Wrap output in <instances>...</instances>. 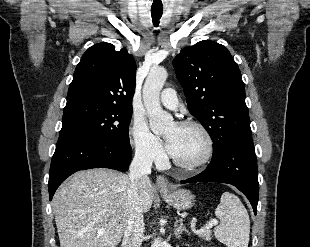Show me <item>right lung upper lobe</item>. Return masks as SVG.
Wrapping results in <instances>:
<instances>
[{
    "instance_id": "right-lung-upper-lobe-1",
    "label": "right lung upper lobe",
    "mask_w": 310,
    "mask_h": 247,
    "mask_svg": "<svg viewBox=\"0 0 310 247\" xmlns=\"http://www.w3.org/2000/svg\"><path fill=\"white\" fill-rule=\"evenodd\" d=\"M136 63L125 48L98 43L82 56L69 86L64 108L95 107L132 110Z\"/></svg>"
}]
</instances>
